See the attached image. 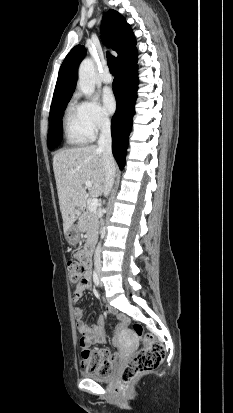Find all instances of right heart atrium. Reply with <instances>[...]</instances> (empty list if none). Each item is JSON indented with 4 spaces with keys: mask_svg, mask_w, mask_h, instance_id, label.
<instances>
[{
    "mask_svg": "<svg viewBox=\"0 0 233 413\" xmlns=\"http://www.w3.org/2000/svg\"><path fill=\"white\" fill-rule=\"evenodd\" d=\"M79 108L84 124L92 138H95L101 131L110 126V118L107 112L96 99L82 101Z\"/></svg>",
    "mask_w": 233,
    "mask_h": 413,
    "instance_id": "obj_1",
    "label": "right heart atrium"
}]
</instances>
